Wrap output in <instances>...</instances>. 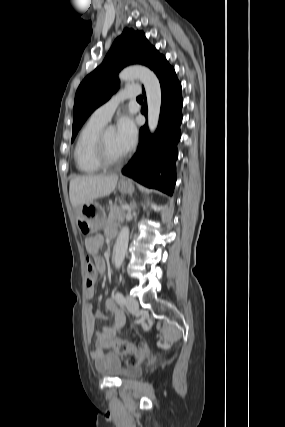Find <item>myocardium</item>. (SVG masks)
<instances>
[{
	"mask_svg": "<svg viewBox=\"0 0 285 427\" xmlns=\"http://www.w3.org/2000/svg\"><path fill=\"white\" fill-rule=\"evenodd\" d=\"M105 134L106 130L103 129L98 135L94 145V157L97 163L103 168L114 167L122 164L128 158V154L126 153L119 158H111L107 151Z\"/></svg>",
	"mask_w": 285,
	"mask_h": 427,
	"instance_id": "obj_1",
	"label": "myocardium"
}]
</instances>
